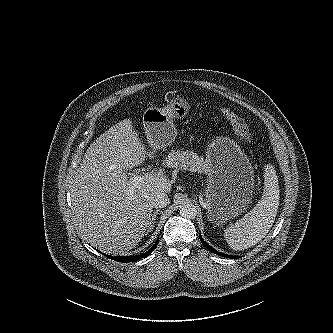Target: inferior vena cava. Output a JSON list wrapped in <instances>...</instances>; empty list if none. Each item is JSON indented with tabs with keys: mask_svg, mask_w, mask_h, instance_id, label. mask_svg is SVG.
<instances>
[{
	"mask_svg": "<svg viewBox=\"0 0 333 333\" xmlns=\"http://www.w3.org/2000/svg\"><path fill=\"white\" fill-rule=\"evenodd\" d=\"M170 203L168 195L164 192H158L152 199V204L155 208L166 207Z\"/></svg>",
	"mask_w": 333,
	"mask_h": 333,
	"instance_id": "1",
	"label": "inferior vena cava"
}]
</instances>
